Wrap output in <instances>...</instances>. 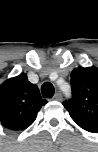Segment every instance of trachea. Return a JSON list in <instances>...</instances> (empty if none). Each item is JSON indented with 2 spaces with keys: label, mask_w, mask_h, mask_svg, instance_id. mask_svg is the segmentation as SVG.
Listing matches in <instances>:
<instances>
[{
  "label": "trachea",
  "mask_w": 98,
  "mask_h": 152,
  "mask_svg": "<svg viewBox=\"0 0 98 152\" xmlns=\"http://www.w3.org/2000/svg\"><path fill=\"white\" fill-rule=\"evenodd\" d=\"M54 92H55L54 87H53L52 83H50V82H45L41 86V93L44 98H52L54 95Z\"/></svg>",
  "instance_id": "trachea-1"
}]
</instances>
